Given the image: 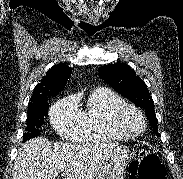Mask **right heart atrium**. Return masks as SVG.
<instances>
[{
    "instance_id": "obj_1",
    "label": "right heart atrium",
    "mask_w": 183,
    "mask_h": 179,
    "mask_svg": "<svg viewBox=\"0 0 183 179\" xmlns=\"http://www.w3.org/2000/svg\"><path fill=\"white\" fill-rule=\"evenodd\" d=\"M50 118L53 127L62 137L76 140L81 136L83 122L76 97L68 96L55 103Z\"/></svg>"
}]
</instances>
